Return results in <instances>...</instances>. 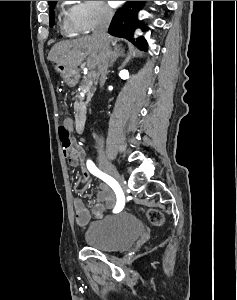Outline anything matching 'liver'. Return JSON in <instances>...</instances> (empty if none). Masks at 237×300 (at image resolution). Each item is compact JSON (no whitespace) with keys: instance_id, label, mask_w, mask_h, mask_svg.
I'll use <instances>...</instances> for the list:
<instances>
[{"instance_id":"1","label":"liver","mask_w":237,"mask_h":300,"mask_svg":"<svg viewBox=\"0 0 237 300\" xmlns=\"http://www.w3.org/2000/svg\"><path fill=\"white\" fill-rule=\"evenodd\" d=\"M112 37H108V45H110ZM101 47L98 39L95 37H80V39H72V41H60L52 47L47 59L58 63V65H65L68 69H77L84 59L87 57L88 67H100ZM109 47L108 61L111 59ZM89 55V57H88Z\"/></svg>"}]
</instances>
